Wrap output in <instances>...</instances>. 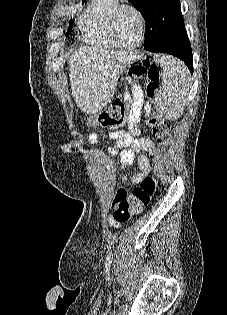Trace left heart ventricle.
<instances>
[{
  "label": "left heart ventricle",
  "instance_id": "b2bd125f",
  "mask_svg": "<svg viewBox=\"0 0 227 315\" xmlns=\"http://www.w3.org/2000/svg\"><path fill=\"white\" fill-rule=\"evenodd\" d=\"M115 36L123 45H133L139 39L140 21L131 10H124L119 15L115 24Z\"/></svg>",
  "mask_w": 227,
  "mask_h": 315
}]
</instances>
